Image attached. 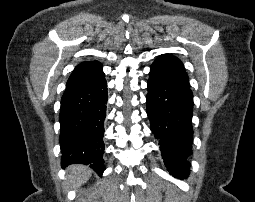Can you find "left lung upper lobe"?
Here are the masks:
<instances>
[{"instance_id": "left-lung-upper-lobe-1", "label": "left lung upper lobe", "mask_w": 255, "mask_h": 202, "mask_svg": "<svg viewBox=\"0 0 255 202\" xmlns=\"http://www.w3.org/2000/svg\"><path fill=\"white\" fill-rule=\"evenodd\" d=\"M150 73L162 76L167 80L189 87L188 76L183 63L171 55H160L152 64Z\"/></svg>"}]
</instances>
